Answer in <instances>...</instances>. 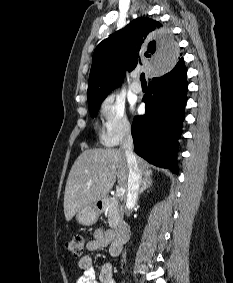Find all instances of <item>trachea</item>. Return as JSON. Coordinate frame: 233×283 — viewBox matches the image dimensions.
Masks as SVG:
<instances>
[{"instance_id":"3493384b","label":"trachea","mask_w":233,"mask_h":283,"mask_svg":"<svg viewBox=\"0 0 233 283\" xmlns=\"http://www.w3.org/2000/svg\"><path fill=\"white\" fill-rule=\"evenodd\" d=\"M140 80H141V83H146L145 74L144 73L141 74Z\"/></svg>"}]
</instances>
